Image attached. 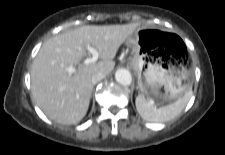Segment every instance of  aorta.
I'll return each mask as SVG.
<instances>
[{"instance_id":"aorta-1","label":"aorta","mask_w":225,"mask_h":155,"mask_svg":"<svg viewBox=\"0 0 225 155\" xmlns=\"http://www.w3.org/2000/svg\"><path fill=\"white\" fill-rule=\"evenodd\" d=\"M115 79L124 86H129L132 82L131 73L127 69H118L115 73Z\"/></svg>"}]
</instances>
